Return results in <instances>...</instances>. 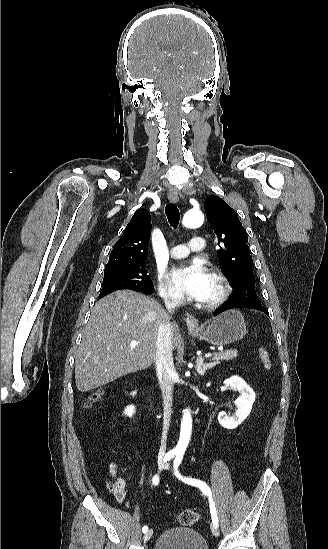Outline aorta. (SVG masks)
I'll use <instances>...</instances> for the list:
<instances>
[{
  "label": "aorta",
  "instance_id": "obj_1",
  "mask_svg": "<svg viewBox=\"0 0 328 549\" xmlns=\"http://www.w3.org/2000/svg\"><path fill=\"white\" fill-rule=\"evenodd\" d=\"M204 222V216L201 211L198 210H189L183 216L182 224L187 228H198ZM192 431V418L191 412L189 409L184 410V414L181 421V432L179 441L177 443L176 449L180 451H185Z\"/></svg>",
  "mask_w": 328,
  "mask_h": 549
}]
</instances>
